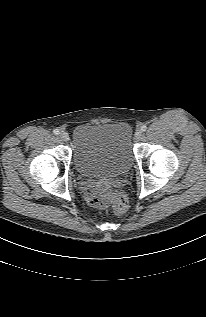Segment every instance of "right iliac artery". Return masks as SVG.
Listing matches in <instances>:
<instances>
[{
    "instance_id": "82829eb1",
    "label": "right iliac artery",
    "mask_w": 206,
    "mask_h": 317,
    "mask_svg": "<svg viewBox=\"0 0 206 317\" xmlns=\"http://www.w3.org/2000/svg\"><path fill=\"white\" fill-rule=\"evenodd\" d=\"M53 133H54L55 135H59V134H60V132H59L58 129H54V130H53Z\"/></svg>"
}]
</instances>
